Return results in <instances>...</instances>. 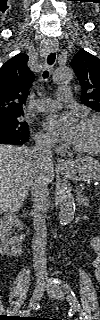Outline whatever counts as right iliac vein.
Wrapping results in <instances>:
<instances>
[{"label": "right iliac vein", "instance_id": "63e3f726", "mask_svg": "<svg viewBox=\"0 0 100 320\" xmlns=\"http://www.w3.org/2000/svg\"><path fill=\"white\" fill-rule=\"evenodd\" d=\"M44 291H45V286L43 284L39 283L35 286L32 297H31V305L35 304L37 301L41 299Z\"/></svg>", "mask_w": 100, "mask_h": 320}]
</instances>
